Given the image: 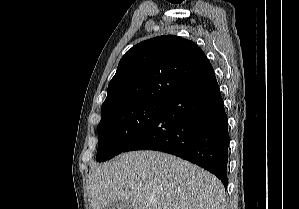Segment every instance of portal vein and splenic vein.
Listing matches in <instances>:
<instances>
[{
    "label": "portal vein and splenic vein",
    "mask_w": 299,
    "mask_h": 209,
    "mask_svg": "<svg viewBox=\"0 0 299 209\" xmlns=\"http://www.w3.org/2000/svg\"><path fill=\"white\" fill-rule=\"evenodd\" d=\"M151 204L154 205L155 203H154V202H151Z\"/></svg>",
    "instance_id": "obj_1"
}]
</instances>
